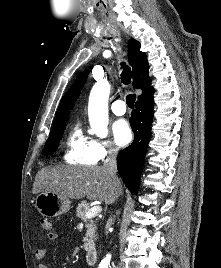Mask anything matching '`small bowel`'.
<instances>
[{
  "label": "small bowel",
  "instance_id": "obj_1",
  "mask_svg": "<svg viewBox=\"0 0 221 268\" xmlns=\"http://www.w3.org/2000/svg\"><path fill=\"white\" fill-rule=\"evenodd\" d=\"M46 237L49 241H55V240H57L58 235L54 231H49L47 233ZM45 255H46V248L45 247H39L36 249L35 256H36L37 260L40 261V263L38 264V268H49L48 265L42 261L44 259Z\"/></svg>",
  "mask_w": 221,
  "mask_h": 268
}]
</instances>
